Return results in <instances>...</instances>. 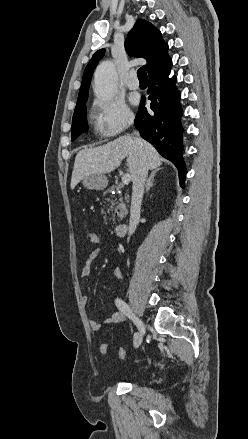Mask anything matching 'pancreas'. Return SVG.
Listing matches in <instances>:
<instances>
[{
  "label": "pancreas",
  "instance_id": "cf45deb5",
  "mask_svg": "<svg viewBox=\"0 0 248 439\" xmlns=\"http://www.w3.org/2000/svg\"><path fill=\"white\" fill-rule=\"evenodd\" d=\"M123 188V184H117V185H112V187H111V190H115L116 192H118L119 193V191H120V189H122ZM107 192H105L104 194H106ZM128 199H129V196L127 195V196H125V198H119V199H116L115 201H117L116 202V204L119 206V207H121V208H124L125 207V203H124V200L125 201H128Z\"/></svg>",
  "mask_w": 248,
  "mask_h": 439
}]
</instances>
